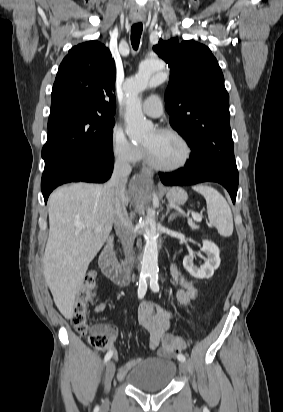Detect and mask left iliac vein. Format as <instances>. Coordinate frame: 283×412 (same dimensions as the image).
Instances as JSON below:
<instances>
[{"label":"left iliac vein","mask_w":283,"mask_h":412,"mask_svg":"<svg viewBox=\"0 0 283 412\" xmlns=\"http://www.w3.org/2000/svg\"><path fill=\"white\" fill-rule=\"evenodd\" d=\"M179 367L183 373H186L188 371V365L185 362H180Z\"/></svg>","instance_id":"left-iliac-vein-1"}]
</instances>
